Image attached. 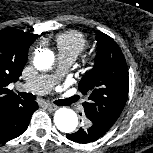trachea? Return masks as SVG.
Here are the masks:
<instances>
[{
	"label": "trachea",
	"instance_id": "3493384b",
	"mask_svg": "<svg viewBox=\"0 0 153 153\" xmlns=\"http://www.w3.org/2000/svg\"><path fill=\"white\" fill-rule=\"evenodd\" d=\"M18 94L25 100H28V101H34L36 100V96L31 94V93H26V92H18ZM77 99L76 98H71V99H68L66 100L65 103H72L74 101H76Z\"/></svg>",
	"mask_w": 153,
	"mask_h": 153
}]
</instances>
